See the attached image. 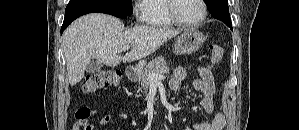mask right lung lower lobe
<instances>
[{"label": "right lung lower lobe", "instance_id": "obj_1", "mask_svg": "<svg viewBox=\"0 0 299 130\" xmlns=\"http://www.w3.org/2000/svg\"><path fill=\"white\" fill-rule=\"evenodd\" d=\"M93 12H100V13H106L110 14L116 17L120 18H126L128 15L121 13L116 10L102 8L98 6H89V5H73V6H67L65 10V18L63 21V25L61 27V33L67 28V26L76 18L87 14V13H93Z\"/></svg>", "mask_w": 299, "mask_h": 130}]
</instances>
